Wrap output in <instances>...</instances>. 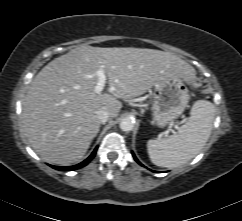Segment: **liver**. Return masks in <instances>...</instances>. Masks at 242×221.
<instances>
[{"instance_id":"1","label":"liver","mask_w":242,"mask_h":221,"mask_svg":"<svg viewBox=\"0 0 242 221\" xmlns=\"http://www.w3.org/2000/svg\"><path fill=\"white\" fill-rule=\"evenodd\" d=\"M103 69L108 93L96 94V71ZM194 68L171 52L134 47L83 45L49 62L31 82L23 102L25 137L48 163L80 161L99 131L98 110L118 116L122 102L149 91L157 82Z\"/></svg>"}]
</instances>
